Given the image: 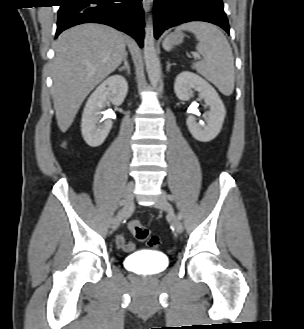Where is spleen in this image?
<instances>
[{
	"label": "spleen",
	"mask_w": 304,
	"mask_h": 329,
	"mask_svg": "<svg viewBox=\"0 0 304 329\" xmlns=\"http://www.w3.org/2000/svg\"><path fill=\"white\" fill-rule=\"evenodd\" d=\"M180 30L192 32L198 40L196 50L203 60L194 64L195 69L222 94L230 96L235 83L234 58L224 34L215 25L200 21L182 24L176 28V31ZM171 36L168 35L163 43L167 51L171 50Z\"/></svg>",
	"instance_id": "spleen-1"
}]
</instances>
